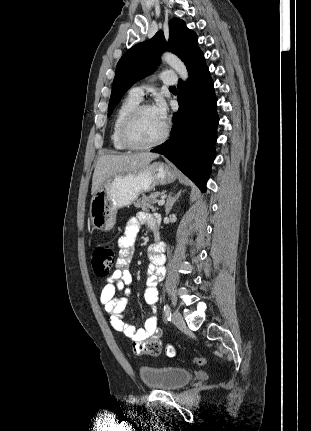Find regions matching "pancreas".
I'll return each mask as SVG.
<instances>
[{
  "instance_id": "pancreas-1",
  "label": "pancreas",
  "mask_w": 311,
  "mask_h": 431,
  "mask_svg": "<svg viewBox=\"0 0 311 431\" xmlns=\"http://www.w3.org/2000/svg\"><path fill=\"white\" fill-rule=\"evenodd\" d=\"M165 192H154V194H149V196H142L139 200H136L134 206L135 208H141L142 212H150V210H157L155 204H157V198L159 196H164Z\"/></svg>"
}]
</instances>
